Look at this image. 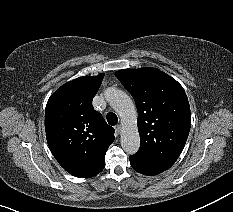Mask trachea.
Listing matches in <instances>:
<instances>
[{"instance_id":"1","label":"trachea","mask_w":233,"mask_h":212,"mask_svg":"<svg viewBox=\"0 0 233 212\" xmlns=\"http://www.w3.org/2000/svg\"><path fill=\"white\" fill-rule=\"evenodd\" d=\"M106 118H107V122L112 126L116 125L118 122V117L115 113L112 112L108 113Z\"/></svg>"}]
</instances>
